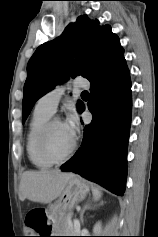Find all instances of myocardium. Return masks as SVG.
<instances>
[{"mask_svg":"<svg viewBox=\"0 0 158 237\" xmlns=\"http://www.w3.org/2000/svg\"><path fill=\"white\" fill-rule=\"evenodd\" d=\"M57 122H61V121L57 118H51L43 126V128L39 134L38 143H37L38 151H39L40 155L47 161L51 162L52 164H58V163L67 161L74 154L75 149H76V140L73 139L72 145L65 155H63L61 157H57L51 152V150L49 148V135H50L53 125Z\"/></svg>","mask_w":158,"mask_h":237,"instance_id":"1","label":"myocardium"}]
</instances>
